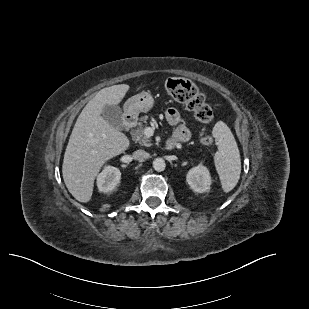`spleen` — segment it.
Segmentation results:
<instances>
[{
	"label": "spleen",
	"mask_w": 309,
	"mask_h": 309,
	"mask_svg": "<svg viewBox=\"0 0 309 309\" xmlns=\"http://www.w3.org/2000/svg\"><path fill=\"white\" fill-rule=\"evenodd\" d=\"M213 137L218 142L214 163L219 175L222 189L230 192L237 185L241 174L240 153L230 128L218 121L213 128Z\"/></svg>",
	"instance_id": "3e777b00"
}]
</instances>
